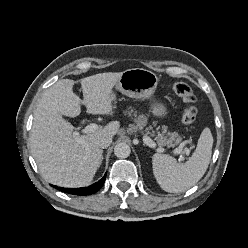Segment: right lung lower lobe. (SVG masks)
Here are the masks:
<instances>
[{
  "label": "right lung lower lobe",
  "mask_w": 248,
  "mask_h": 248,
  "mask_svg": "<svg viewBox=\"0 0 248 248\" xmlns=\"http://www.w3.org/2000/svg\"><path fill=\"white\" fill-rule=\"evenodd\" d=\"M105 178H106V174L98 182L94 183L93 185H90L88 187H83V188H62V187H57V186H53V187H55L56 189L62 192H66V193L73 194V195H91L97 192L103 186Z\"/></svg>",
  "instance_id": "1"
}]
</instances>
